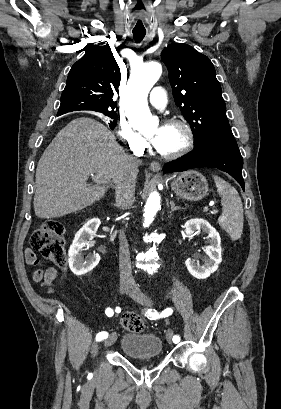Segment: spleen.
Masks as SVG:
<instances>
[{
  "label": "spleen",
  "mask_w": 281,
  "mask_h": 409,
  "mask_svg": "<svg viewBox=\"0 0 281 409\" xmlns=\"http://www.w3.org/2000/svg\"><path fill=\"white\" fill-rule=\"evenodd\" d=\"M217 186V192L221 196L222 215L218 223L226 233L230 235L232 241H238L243 233L244 217L242 200L234 186L226 182L220 176H213Z\"/></svg>",
  "instance_id": "obj_1"
}]
</instances>
